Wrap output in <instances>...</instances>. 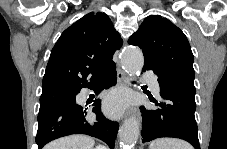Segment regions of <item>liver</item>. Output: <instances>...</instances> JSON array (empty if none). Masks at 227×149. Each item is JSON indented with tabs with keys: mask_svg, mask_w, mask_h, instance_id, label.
<instances>
[{
	"mask_svg": "<svg viewBox=\"0 0 227 149\" xmlns=\"http://www.w3.org/2000/svg\"><path fill=\"white\" fill-rule=\"evenodd\" d=\"M94 145L91 137L70 135L50 142L44 149H93Z\"/></svg>",
	"mask_w": 227,
	"mask_h": 149,
	"instance_id": "6515ba94",
	"label": "liver"
}]
</instances>
